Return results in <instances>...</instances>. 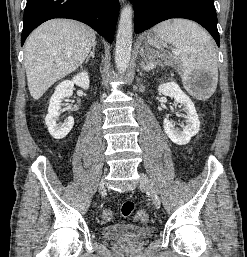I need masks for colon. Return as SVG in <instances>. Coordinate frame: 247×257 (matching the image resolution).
<instances>
[{
    "mask_svg": "<svg viewBox=\"0 0 247 257\" xmlns=\"http://www.w3.org/2000/svg\"><path fill=\"white\" fill-rule=\"evenodd\" d=\"M135 210V204L132 201H125L122 203L120 208L121 216L129 218L133 215ZM102 217L106 221H110L113 218V212L110 209H106L102 213ZM135 219L141 223L148 221V214L145 211H138L135 215Z\"/></svg>",
    "mask_w": 247,
    "mask_h": 257,
    "instance_id": "obj_1",
    "label": "colon"
}]
</instances>
